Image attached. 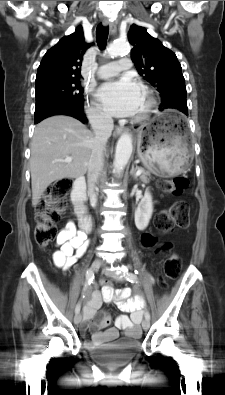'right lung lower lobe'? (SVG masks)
<instances>
[{"mask_svg": "<svg viewBox=\"0 0 225 395\" xmlns=\"http://www.w3.org/2000/svg\"><path fill=\"white\" fill-rule=\"evenodd\" d=\"M54 114L68 115L77 118L83 123L87 122V119L83 113V102H77V101H65V102L55 103L47 107L43 111L39 113H35L34 122L35 124L39 123L41 120Z\"/></svg>", "mask_w": 225, "mask_h": 395, "instance_id": "right-lung-lower-lobe-1", "label": "right lung lower lobe"}]
</instances>
